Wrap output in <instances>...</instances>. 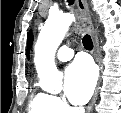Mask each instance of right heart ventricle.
Instances as JSON below:
<instances>
[{
  "label": "right heart ventricle",
  "mask_w": 121,
  "mask_h": 113,
  "mask_svg": "<svg viewBox=\"0 0 121 113\" xmlns=\"http://www.w3.org/2000/svg\"><path fill=\"white\" fill-rule=\"evenodd\" d=\"M57 109L54 98L44 90H35L29 99L28 113H54Z\"/></svg>",
  "instance_id": "e07e8e85"
}]
</instances>
